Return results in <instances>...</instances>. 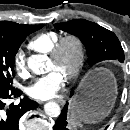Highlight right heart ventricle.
Listing matches in <instances>:
<instances>
[{"mask_svg": "<svg viewBox=\"0 0 130 130\" xmlns=\"http://www.w3.org/2000/svg\"><path fill=\"white\" fill-rule=\"evenodd\" d=\"M59 38V33L55 31H44L38 33L30 40L29 47L37 52L49 54Z\"/></svg>", "mask_w": 130, "mask_h": 130, "instance_id": "e07e8e85", "label": "right heart ventricle"}]
</instances>
